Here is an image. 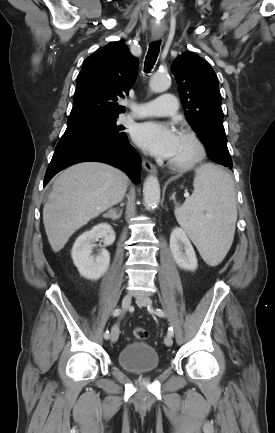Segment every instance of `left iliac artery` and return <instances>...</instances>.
Returning a JSON list of instances; mask_svg holds the SVG:
<instances>
[{
    "label": "left iliac artery",
    "mask_w": 275,
    "mask_h": 433,
    "mask_svg": "<svg viewBox=\"0 0 275 433\" xmlns=\"http://www.w3.org/2000/svg\"><path fill=\"white\" fill-rule=\"evenodd\" d=\"M148 309H149V308H148ZM155 312H156V314H157L158 316H160V317H164V316H165L164 311L161 310V309H156ZM168 334L171 335V336H173V334H174V330H173V327H172V326H170V327L168 328Z\"/></svg>",
    "instance_id": "obj_1"
}]
</instances>
